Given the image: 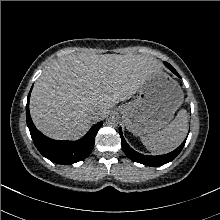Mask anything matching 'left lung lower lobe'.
<instances>
[{"label": "left lung lower lobe", "instance_id": "obj_1", "mask_svg": "<svg viewBox=\"0 0 220 220\" xmlns=\"http://www.w3.org/2000/svg\"><path fill=\"white\" fill-rule=\"evenodd\" d=\"M164 64L166 65L167 68H169L175 75H177L178 77L179 74L177 73V71L167 62H164ZM119 134L121 137V141H122V149L125 152V154L133 161L147 165V166H161L164 165L170 161H172L182 150L183 146L185 145L186 140H184V142L174 151L165 154V155H160V156H147V155H143L140 154L136 151H134L125 141L123 134H122V130L121 128H119Z\"/></svg>", "mask_w": 220, "mask_h": 220}]
</instances>
